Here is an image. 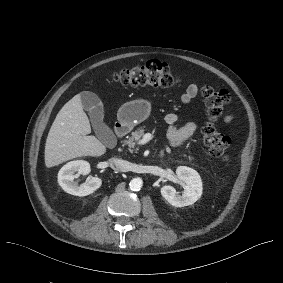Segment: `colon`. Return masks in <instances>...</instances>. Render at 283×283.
<instances>
[{"mask_svg":"<svg viewBox=\"0 0 283 283\" xmlns=\"http://www.w3.org/2000/svg\"><path fill=\"white\" fill-rule=\"evenodd\" d=\"M115 82L136 87H172L178 84V78L171 68L160 61L151 60L141 66L122 69L113 75ZM202 95L207 108L208 120L201 129L202 139L205 147L215 158L228 164L227 153L230 139L220 132L215 123L225 111L230 101V94L227 90L207 85L202 89Z\"/></svg>","mask_w":283,"mask_h":283,"instance_id":"5ec220e1","label":"colon"}]
</instances>
